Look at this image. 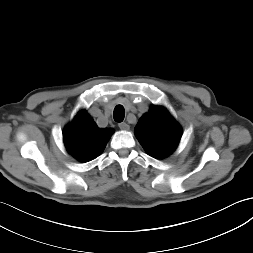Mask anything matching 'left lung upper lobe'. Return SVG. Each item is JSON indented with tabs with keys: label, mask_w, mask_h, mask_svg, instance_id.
<instances>
[{
	"label": "left lung upper lobe",
	"mask_w": 253,
	"mask_h": 253,
	"mask_svg": "<svg viewBox=\"0 0 253 253\" xmlns=\"http://www.w3.org/2000/svg\"><path fill=\"white\" fill-rule=\"evenodd\" d=\"M135 135L152 157L165 158L177 147L182 130L164 107L153 106L135 127Z\"/></svg>",
	"instance_id": "obj_1"
}]
</instances>
